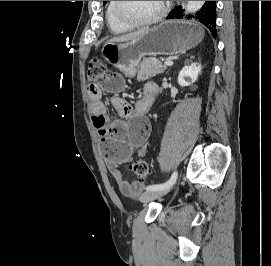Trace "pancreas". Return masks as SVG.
I'll list each match as a JSON object with an SVG mask.
<instances>
[{"label":"pancreas","mask_w":271,"mask_h":266,"mask_svg":"<svg viewBox=\"0 0 271 266\" xmlns=\"http://www.w3.org/2000/svg\"><path fill=\"white\" fill-rule=\"evenodd\" d=\"M166 68V65H162L155 58H144L139 64L138 75L141 78L153 77L157 74H162Z\"/></svg>","instance_id":"pancreas-1"}]
</instances>
